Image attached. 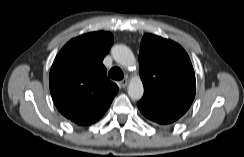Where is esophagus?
Masks as SVG:
<instances>
[{
	"mask_svg": "<svg viewBox=\"0 0 244 157\" xmlns=\"http://www.w3.org/2000/svg\"><path fill=\"white\" fill-rule=\"evenodd\" d=\"M128 85V80L127 79H123L120 81V86L125 88Z\"/></svg>",
	"mask_w": 244,
	"mask_h": 157,
	"instance_id": "1",
	"label": "esophagus"
}]
</instances>
